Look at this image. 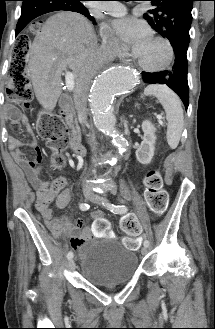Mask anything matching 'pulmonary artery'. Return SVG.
<instances>
[{
    "label": "pulmonary artery",
    "instance_id": "1",
    "mask_svg": "<svg viewBox=\"0 0 215 329\" xmlns=\"http://www.w3.org/2000/svg\"><path fill=\"white\" fill-rule=\"evenodd\" d=\"M95 7L98 10L103 11L112 16H122V15L126 14V12H127L126 7L119 2L95 4Z\"/></svg>",
    "mask_w": 215,
    "mask_h": 329
}]
</instances>
